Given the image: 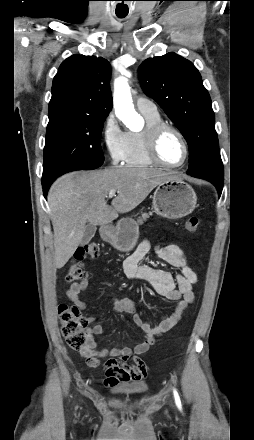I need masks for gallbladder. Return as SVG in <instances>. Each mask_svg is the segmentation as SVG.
<instances>
[{"instance_id": "bac80fb5", "label": "gallbladder", "mask_w": 254, "mask_h": 440, "mask_svg": "<svg viewBox=\"0 0 254 440\" xmlns=\"http://www.w3.org/2000/svg\"><path fill=\"white\" fill-rule=\"evenodd\" d=\"M97 227L93 224H87L83 233V237L81 240V245H86L90 242V240L94 237L96 233Z\"/></svg>"}]
</instances>
